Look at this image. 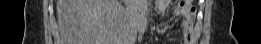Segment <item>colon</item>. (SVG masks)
I'll return each instance as SVG.
<instances>
[{"label":"colon","instance_id":"obj_1","mask_svg":"<svg viewBox=\"0 0 261 44\" xmlns=\"http://www.w3.org/2000/svg\"><path fill=\"white\" fill-rule=\"evenodd\" d=\"M177 5L179 8H185L186 6H191V1H178Z\"/></svg>","mask_w":261,"mask_h":44}]
</instances>
